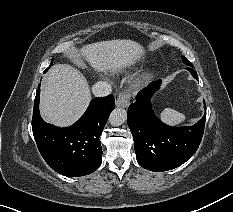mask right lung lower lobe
<instances>
[{
  "instance_id": "right-lung-lower-lobe-1",
  "label": "right lung lower lobe",
  "mask_w": 233,
  "mask_h": 212,
  "mask_svg": "<svg viewBox=\"0 0 233 212\" xmlns=\"http://www.w3.org/2000/svg\"><path fill=\"white\" fill-rule=\"evenodd\" d=\"M39 98L40 89L34 101L32 130L46 163L56 172L71 177L88 175L98 169L102 160L99 137L115 107L114 97L108 95L91 100L84 115L65 128L42 119Z\"/></svg>"
}]
</instances>
